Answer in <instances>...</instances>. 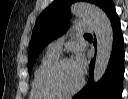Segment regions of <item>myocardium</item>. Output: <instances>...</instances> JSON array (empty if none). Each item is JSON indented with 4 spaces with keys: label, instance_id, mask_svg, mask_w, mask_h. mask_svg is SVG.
Returning <instances> with one entry per match:
<instances>
[{
    "label": "myocardium",
    "instance_id": "f54148a6",
    "mask_svg": "<svg viewBox=\"0 0 128 99\" xmlns=\"http://www.w3.org/2000/svg\"><path fill=\"white\" fill-rule=\"evenodd\" d=\"M67 61H73V60L70 57H58L56 60H54L53 62H51L42 69L39 76V85L44 92L49 93L55 97H70L75 95L82 89L85 83V78L83 74H81L80 83L74 89L69 91H62L49 85L47 81L48 76L54 70H56L61 64Z\"/></svg>",
    "mask_w": 128,
    "mask_h": 99
}]
</instances>
